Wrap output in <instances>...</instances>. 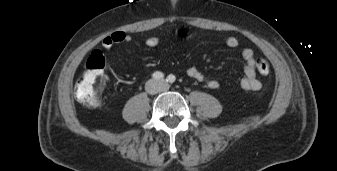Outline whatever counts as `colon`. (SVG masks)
<instances>
[{
	"label": "colon",
	"instance_id": "obj_1",
	"mask_svg": "<svg viewBox=\"0 0 337 171\" xmlns=\"http://www.w3.org/2000/svg\"><path fill=\"white\" fill-rule=\"evenodd\" d=\"M260 74H267L270 70L268 61L259 57L255 61ZM104 57L98 50H94L87 59L82 77L75 86V96L80 104L89 108H97L101 105V89L104 84L103 70Z\"/></svg>",
	"mask_w": 337,
	"mask_h": 171
}]
</instances>
